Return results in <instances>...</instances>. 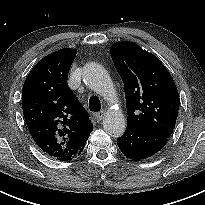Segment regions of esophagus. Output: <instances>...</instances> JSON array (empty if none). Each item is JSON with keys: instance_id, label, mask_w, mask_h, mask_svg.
<instances>
[{"instance_id": "1", "label": "esophagus", "mask_w": 205, "mask_h": 205, "mask_svg": "<svg viewBox=\"0 0 205 205\" xmlns=\"http://www.w3.org/2000/svg\"><path fill=\"white\" fill-rule=\"evenodd\" d=\"M96 119L98 120V121H100V120H102L103 118H104V116H105V111L103 110V111H100V112H98V113H96Z\"/></svg>"}]
</instances>
